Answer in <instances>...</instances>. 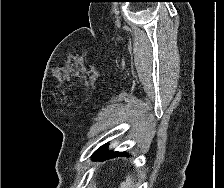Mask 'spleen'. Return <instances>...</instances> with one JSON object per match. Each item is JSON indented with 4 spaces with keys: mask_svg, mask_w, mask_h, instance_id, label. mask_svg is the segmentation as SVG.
Listing matches in <instances>:
<instances>
[{
    "mask_svg": "<svg viewBox=\"0 0 224 188\" xmlns=\"http://www.w3.org/2000/svg\"><path fill=\"white\" fill-rule=\"evenodd\" d=\"M119 188H134L132 177L128 175L126 180L120 184Z\"/></svg>",
    "mask_w": 224,
    "mask_h": 188,
    "instance_id": "3e777b00",
    "label": "spleen"
}]
</instances>
